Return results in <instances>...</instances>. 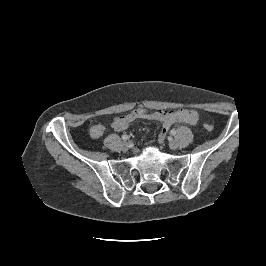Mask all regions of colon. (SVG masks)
I'll return each instance as SVG.
<instances>
[{"mask_svg": "<svg viewBox=\"0 0 266 266\" xmlns=\"http://www.w3.org/2000/svg\"><path fill=\"white\" fill-rule=\"evenodd\" d=\"M136 114H153V113H163L164 111L161 110H148V109H144V108H138L136 110H134ZM204 129L207 131H212L213 130V126L211 124H207L205 123L204 125Z\"/></svg>", "mask_w": 266, "mask_h": 266, "instance_id": "5ec220e1", "label": "colon"}]
</instances>
